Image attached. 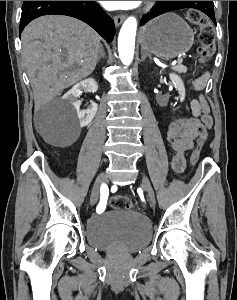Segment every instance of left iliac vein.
<instances>
[{
  "instance_id": "left-iliac-vein-1",
  "label": "left iliac vein",
  "mask_w": 237,
  "mask_h": 300,
  "mask_svg": "<svg viewBox=\"0 0 237 300\" xmlns=\"http://www.w3.org/2000/svg\"><path fill=\"white\" fill-rule=\"evenodd\" d=\"M142 188L147 192L148 199L151 204V206L155 205V197H154V191L151 187L150 181L148 178H146L144 175H142Z\"/></svg>"
}]
</instances>
